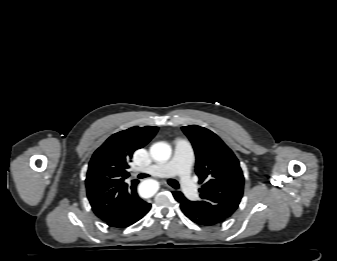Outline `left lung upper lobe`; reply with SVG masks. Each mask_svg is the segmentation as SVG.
I'll use <instances>...</instances> for the list:
<instances>
[{"instance_id": "left-lung-upper-lobe-1", "label": "left lung upper lobe", "mask_w": 337, "mask_h": 261, "mask_svg": "<svg viewBox=\"0 0 337 261\" xmlns=\"http://www.w3.org/2000/svg\"><path fill=\"white\" fill-rule=\"evenodd\" d=\"M196 155V174L201 199L191 201L225 221L237 209L243 195L244 177L234 153L212 131L197 125L182 127Z\"/></svg>"}]
</instances>
